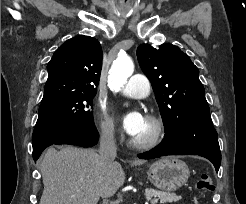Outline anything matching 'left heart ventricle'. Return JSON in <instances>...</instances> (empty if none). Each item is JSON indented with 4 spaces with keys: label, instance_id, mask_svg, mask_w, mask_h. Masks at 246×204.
<instances>
[{
    "label": "left heart ventricle",
    "instance_id": "1",
    "mask_svg": "<svg viewBox=\"0 0 246 204\" xmlns=\"http://www.w3.org/2000/svg\"><path fill=\"white\" fill-rule=\"evenodd\" d=\"M152 132H153L152 124L145 119L142 128L135 136H133V138L137 140H146L151 136Z\"/></svg>",
    "mask_w": 246,
    "mask_h": 204
}]
</instances>
